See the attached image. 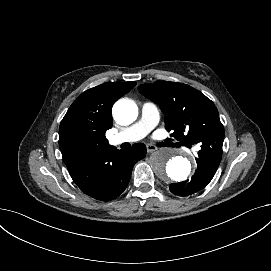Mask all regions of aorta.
Returning a JSON list of instances; mask_svg holds the SVG:
<instances>
[{
  "label": "aorta",
  "mask_w": 271,
  "mask_h": 271,
  "mask_svg": "<svg viewBox=\"0 0 271 271\" xmlns=\"http://www.w3.org/2000/svg\"><path fill=\"white\" fill-rule=\"evenodd\" d=\"M112 112L118 123L128 125L136 120L138 107L133 101L122 99L114 104ZM150 164L156 175L163 180L183 181L191 172L189 159L177 155V151L171 148L154 152Z\"/></svg>",
  "instance_id": "obj_1"
}]
</instances>
